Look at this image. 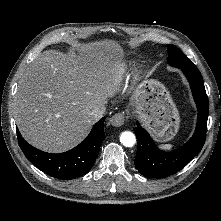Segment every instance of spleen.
I'll return each mask as SVG.
<instances>
[{"mask_svg": "<svg viewBox=\"0 0 221 221\" xmlns=\"http://www.w3.org/2000/svg\"><path fill=\"white\" fill-rule=\"evenodd\" d=\"M159 148L162 149V150H171L173 148V145L164 144V145H161Z\"/></svg>", "mask_w": 221, "mask_h": 221, "instance_id": "obj_1", "label": "spleen"}]
</instances>
